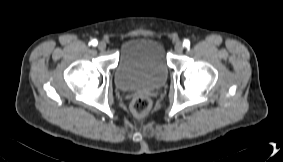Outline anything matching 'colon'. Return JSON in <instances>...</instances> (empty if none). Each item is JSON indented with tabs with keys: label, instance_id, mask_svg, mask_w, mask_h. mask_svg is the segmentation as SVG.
Wrapping results in <instances>:
<instances>
[{
	"label": "colon",
	"instance_id": "colon-1",
	"mask_svg": "<svg viewBox=\"0 0 283 162\" xmlns=\"http://www.w3.org/2000/svg\"><path fill=\"white\" fill-rule=\"evenodd\" d=\"M151 107V101L148 97L139 95L136 96L130 105L131 111L137 115V116H142L146 114Z\"/></svg>",
	"mask_w": 283,
	"mask_h": 162
}]
</instances>
